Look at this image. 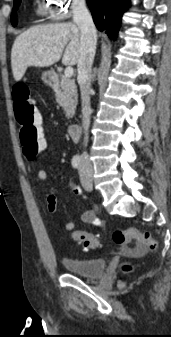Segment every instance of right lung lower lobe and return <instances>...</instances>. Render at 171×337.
<instances>
[{"mask_svg":"<svg viewBox=\"0 0 171 337\" xmlns=\"http://www.w3.org/2000/svg\"><path fill=\"white\" fill-rule=\"evenodd\" d=\"M95 25L115 40L122 14L130 6V0H87Z\"/></svg>","mask_w":171,"mask_h":337,"instance_id":"98d812e1","label":"right lung lower lobe"}]
</instances>
